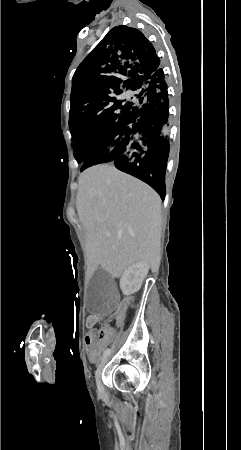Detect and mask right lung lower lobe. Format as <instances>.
I'll return each instance as SVG.
<instances>
[{
	"label": "right lung lower lobe",
	"instance_id": "obj_1",
	"mask_svg": "<svg viewBox=\"0 0 241 450\" xmlns=\"http://www.w3.org/2000/svg\"><path fill=\"white\" fill-rule=\"evenodd\" d=\"M145 101L143 113L135 120L126 122L95 146L87 124L80 125L73 133L74 155L87 157L84 164L97 165L111 163L123 172L135 176L149 184L162 199L165 197V173L169 155V141L165 134L169 117V99L164 72L161 68L143 78ZM141 134L143 141L132 151L113 157L114 149Z\"/></svg>",
	"mask_w": 241,
	"mask_h": 450
}]
</instances>
